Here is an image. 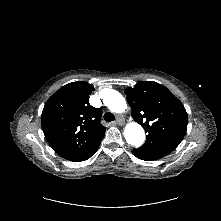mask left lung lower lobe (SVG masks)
I'll use <instances>...</instances> for the list:
<instances>
[{"mask_svg": "<svg viewBox=\"0 0 221 221\" xmlns=\"http://www.w3.org/2000/svg\"><path fill=\"white\" fill-rule=\"evenodd\" d=\"M132 153L134 154V156H136L137 158H139L141 160H146V161L153 160V159H149V158H146V157L140 155L135 149L132 151Z\"/></svg>", "mask_w": 221, "mask_h": 221, "instance_id": "1", "label": "left lung lower lobe"}]
</instances>
